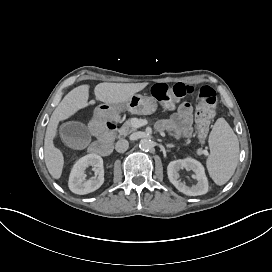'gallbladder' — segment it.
Wrapping results in <instances>:
<instances>
[{"instance_id":"gallbladder-1","label":"gallbladder","mask_w":272,"mask_h":272,"mask_svg":"<svg viewBox=\"0 0 272 272\" xmlns=\"http://www.w3.org/2000/svg\"><path fill=\"white\" fill-rule=\"evenodd\" d=\"M63 142L73 149H84L92 141L90 130L81 122L71 121L61 125Z\"/></svg>"}]
</instances>
